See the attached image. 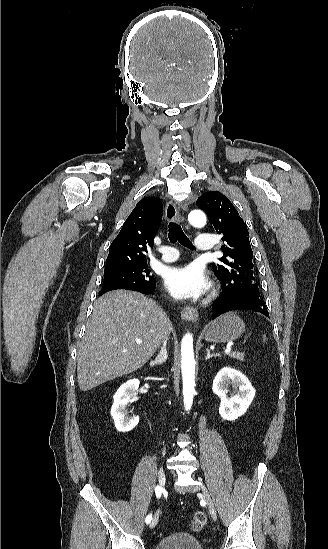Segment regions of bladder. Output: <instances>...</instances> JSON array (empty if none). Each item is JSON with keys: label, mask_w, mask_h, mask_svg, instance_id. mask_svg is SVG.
I'll return each mask as SVG.
<instances>
[{"label": "bladder", "mask_w": 328, "mask_h": 549, "mask_svg": "<svg viewBox=\"0 0 328 549\" xmlns=\"http://www.w3.org/2000/svg\"><path fill=\"white\" fill-rule=\"evenodd\" d=\"M155 549H203L193 534L175 532L157 543Z\"/></svg>", "instance_id": "1"}]
</instances>
